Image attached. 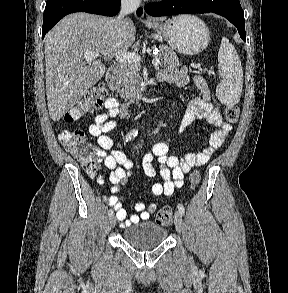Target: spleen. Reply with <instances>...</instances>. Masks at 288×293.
Instances as JSON below:
<instances>
[{"instance_id":"spleen-1","label":"spleen","mask_w":288,"mask_h":293,"mask_svg":"<svg viewBox=\"0 0 288 293\" xmlns=\"http://www.w3.org/2000/svg\"><path fill=\"white\" fill-rule=\"evenodd\" d=\"M218 69L221 82L217 85L216 96L225 105H236L242 93L243 70L235 47L225 37L218 52Z\"/></svg>"}]
</instances>
